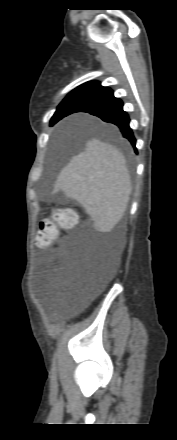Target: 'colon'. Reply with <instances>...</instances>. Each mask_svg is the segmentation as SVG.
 Masks as SVG:
<instances>
[{
	"label": "colon",
	"instance_id": "5ec220e1",
	"mask_svg": "<svg viewBox=\"0 0 177 440\" xmlns=\"http://www.w3.org/2000/svg\"><path fill=\"white\" fill-rule=\"evenodd\" d=\"M77 223L76 213L69 208H56L40 220L36 243L39 247H49L57 239L60 230L70 229Z\"/></svg>",
	"mask_w": 177,
	"mask_h": 440
}]
</instances>
